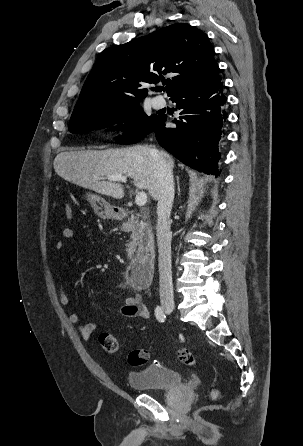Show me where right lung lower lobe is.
I'll use <instances>...</instances> for the list:
<instances>
[{
    "label": "right lung lower lobe",
    "instance_id": "right-lung-lower-lobe-1",
    "mask_svg": "<svg viewBox=\"0 0 303 446\" xmlns=\"http://www.w3.org/2000/svg\"><path fill=\"white\" fill-rule=\"evenodd\" d=\"M181 109L176 127L166 128V115L152 131L159 144L184 164L219 175L218 143L227 119L221 77L190 87L170 98Z\"/></svg>",
    "mask_w": 303,
    "mask_h": 446
}]
</instances>
